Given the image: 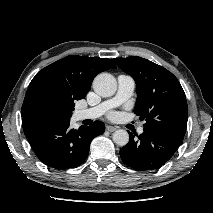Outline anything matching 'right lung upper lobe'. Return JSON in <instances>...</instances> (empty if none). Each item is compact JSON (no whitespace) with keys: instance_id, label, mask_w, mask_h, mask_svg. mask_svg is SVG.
<instances>
[{"instance_id":"right-lung-upper-lobe-1","label":"right lung upper lobe","mask_w":213,"mask_h":213,"mask_svg":"<svg viewBox=\"0 0 213 213\" xmlns=\"http://www.w3.org/2000/svg\"><path fill=\"white\" fill-rule=\"evenodd\" d=\"M116 66L111 59L72 55L60 59L39 71L32 79L23 102L21 116L30 117L25 106L39 91H51L63 98L84 99L94 77Z\"/></svg>"}]
</instances>
